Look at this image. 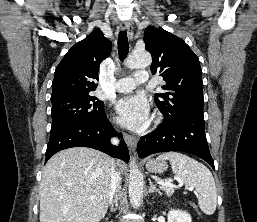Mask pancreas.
Masks as SVG:
<instances>
[{
  "instance_id": "1",
  "label": "pancreas",
  "mask_w": 257,
  "mask_h": 222,
  "mask_svg": "<svg viewBox=\"0 0 257 222\" xmlns=\"http://www.w3.org/2000/svg\"><path fill=\"white\" fill-rule=\"evenodd\" d=\"M160 189L165 191L168 196H171L173 193V189L166 186H160Z\"/></svg>"
}]
</instances>
